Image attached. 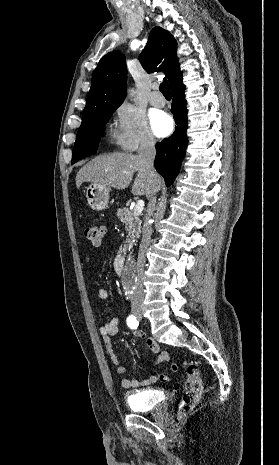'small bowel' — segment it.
<instances>
[{
	"instance_id": "small-bowel-1",
	"label": "small bowel",
	"mask_w": 279,
	"mask_h": 465,
	"mask_svg": "<svg viewBox=\"0 0 279 465\" xmlns=\"http://www.w3.org/2000/svg\"><path fill=\"white\" fill-rule=\"evenodd\" d=\"M95 294H96V298L99 301H104L108 298L107 290L102 287L98 288ZM119 325H120L119 318H114L100 327V334L103 338L104 346L108 352L109 358L112 364L115 366L117 373L124 374L126 372V369L124 366H122L119 360V357L117 355V352L113 347V342H112V337L117 334L119 330ZM135 336L143 339L145 341L146 346L149 348V350L157 354V358H156V361L154 362V365L169 361L170 359L169 354L167 352H161L158 343L154 339L147 337L142 332H136ZM158 380L159 378L156 375H151L142 381H138L136 379H130V378H123L121 381V386L124 389L137 388L140 386L146 387V386L156 383Z\"/></svg>"
}]
</instances>
